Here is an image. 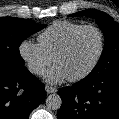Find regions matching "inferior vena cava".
Wrapping results in <instances>:
<instances>
[{
  "label": "inferior vena cava",
  "instance_id": "obj_1",
  "mask_svg": "<svg viewBox=\"0 0 119 119\" xmlns=\"http://www.w3.org/2000/svg\"><path fill=\"white\" fill-rule=\"evenodd\" d=\"M29 70L32 73L38 74V73L41 72L42 68L40 66H33V65H31V66H29Z\"/></svg>",
  "mask_w": 119,
  "mask_h": 119
}]
</instances>
